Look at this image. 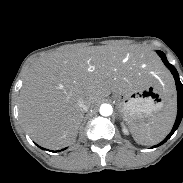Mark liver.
<instances>
[{
    "instance_id": "1",
    "label": "liver",
    "mask_w": 183,
    "mask_h": 183,
    "mask_svg": "<svg viewBox=\"0 0 183 183\" xmlns=\"http://www.w3.org/2000/svg\"><path fill=\"white\" fill-rule=\"evenodd\" d=\"M151 66L167 96L172 92L168 73L150 54L118 46H91L48 54L29 68L20 90L22 123L38 144L60 149L78 134L84 99L96 105L111 92L125 93L133 82L132 67Z\"/></svg>"
}]
</instances>
